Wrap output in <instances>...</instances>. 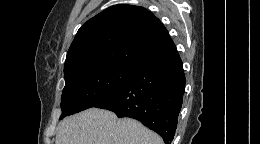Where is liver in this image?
I'll return each instance as SVG.
<instances>
[{"instance_id":"1","label":"liver","mask_w":260,"mask_h":144,"mask_svg":"<svg viewBox=\"0 0 260 144\" xmlns=\"http://www.w3.org/2000/svg\"><path fill=\"white\" fill-rule=\"evenodd\" d=\"M56 144H163V140L134 119L90 108L59 124Z\"/></svg>"}]
</instances>
